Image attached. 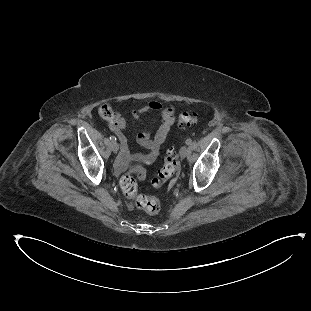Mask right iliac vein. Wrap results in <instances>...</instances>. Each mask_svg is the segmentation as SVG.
I'll use <instances>...</instances> for the list:
<instances>
[{
    "label": "right iliac vein",
    "mask_w": 311,
    "mask_h": 311,
    "mask_svg": "<svg viewBox=\"0 0 311 311\" xmlns=\"http://www.w3.org/2000/svg\"><path fill=\"white\" fill-rule=\"evenodd\" d=\"M118 150H119V145H118V143H117L116 141H115V142H112V151H113L114 153H117Z\"/></svg>",
    "instance_id": "63e3f726"
}]
</instances>
